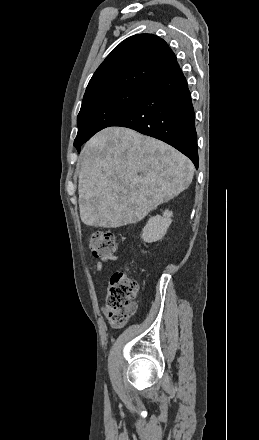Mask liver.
Here are the masks:
<instances>
[{
	"mask_svg": "<svg viewBox=\"0 0 259 440\" xmlns=\"http://www.w3.org/2000/svg\"><path fill=\"white\" fill-rule=\"evenodd\" d=\"M78 173L82 222L117 228L141 221L186 190L194 165L160 140L129 128L108 127L83 147Z\"/></svg>",
	"mask_w": 259,
	"mask_h": 440,
	"instance_id": "1",
	"label": "liver"
}]
</instances>
